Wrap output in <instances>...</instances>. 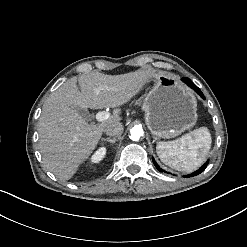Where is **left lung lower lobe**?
<instances>
[{
    "label": "left lung lower lobe",
    "mask_w": 247,
    "mask_h": 247,
    "mask_svg": "<svg viewBox=\"0 0 247 247\" xmlns=\"http://www.w3.org/2000/svg\"><path fill=\"white\" fill-rule=\"evenodd\" d=\"M182 80L192 89H194L203 99H205L203 93L201 92V90L189 79V78H182ZM153 163L156 166V168L160 171L163 172V170L157 165V163L155 162V160L153 159ZM208 162L206 164H204L199 170H197L196 172L187 175L186 177H193L196 176L198 174H200L201 172H203L207 166Z\"/></svg>",
    "instance_id": "0a47b994"
}]
</instances>
